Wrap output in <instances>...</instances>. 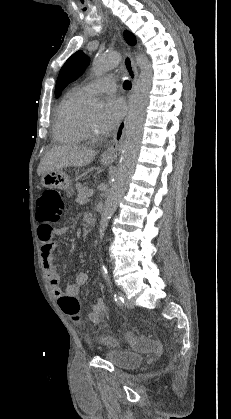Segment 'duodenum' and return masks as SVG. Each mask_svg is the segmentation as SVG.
Segmentation results:
<instances>
[{"label":"duodenum","mask_w":231,"mask_h":419,"mask_svg":"<svg viewBox=\"0 0 231 419\" xmlns=\"http://www.w3.org/2000/svg\"><path fill=\"white\" fill-rule=\"evenodd\" d=\"M85 221L89 226H93L96 223V219L93 215H90V216L87 215L86 218H85Z\"/></svg>","instance_id":"duodenum-1"}]
</instances>
